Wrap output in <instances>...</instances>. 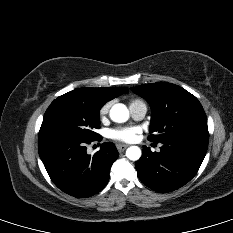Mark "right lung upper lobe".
I'll list each match as a JSON object with an SVG mask.
<instances>
[{
  "mask_svg": "<svg viewBox=\"0 0 233 233\" xmlns=\"http://www.w3.org/2000/svg\"><path fill=\"white\" fill-rule=\"evenodd\" d=\"M129 90L124 87H115V88H79L76 90L71 91L70 93L77 95L80 98H83L84 100L91 102L93 104L103 106L106 102H108L111 99H114L115 97L127 93Z\"/></svg>",
  "mask_w": 233,
  "mask_h": 233,
  "instance_id": "cb5924a9",
  "label": "right lung upper lobe"
}]
</instances>
